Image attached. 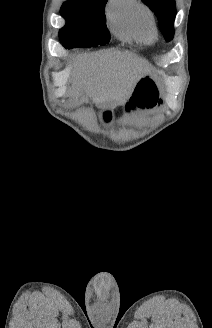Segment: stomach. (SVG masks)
Wrapping results in <instances>:
<instances>
[{
  "instance_id": "0dacf381",
  "label": "stomach",
  "mask_w": 212,
  "mask_h": 328,
  "mask_svg": "<svg viewBox=\"0 0 212 328\" xmlns=\"http://www.w3.org/2000/svg\"><path fill=\"white\" fill-rule=\"evenodd\" d=\"M160 102L158 81L151 73H147L138 79L131 96L127 100V104L131 103L132 105L137 104L146 107H153L157 103L160 104ZM97 113L100 116H105L102 118L105 127H117V122H111L112 110L100 109Z\"/></svg>"
}]
</instances>
